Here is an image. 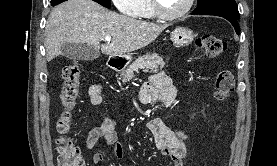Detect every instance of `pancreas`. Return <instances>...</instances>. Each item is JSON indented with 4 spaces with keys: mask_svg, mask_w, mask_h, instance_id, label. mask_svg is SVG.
<instances>
[{
    "mask_svg": "<svg viewBox=\"0 0 277 166\" xmlns=\"http://www.w3.org/2000/svg\"><path fill=\"white\" fill-rule=\"evenodd\" d=\"M165 62L163 58L157 53H148L142 57H138L126 70H123L121 73L122 82L126 83L132 80L135 75L134 72H139L140 69H143L144 72H156L159 69H163Z\"/></svg>",
    "mask_w": 277,
    "mask_h": 166,
    "instance_id": "cf45deb5",
    "label": "pancreas"
}]
</instances>
